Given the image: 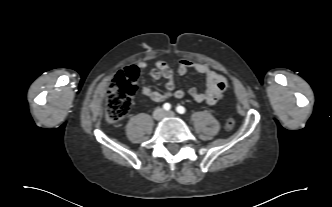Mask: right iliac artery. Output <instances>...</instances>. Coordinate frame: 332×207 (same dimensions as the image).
Returning a JSON list of instances; mask_svg holds the SVG:
<instances>
[{
    "label": "right iliac artery",
    "instance_id": "right-iliac-artery-1",
    "mask_svg": "<svg viewBox=\"0 0 332 207\" xmlns=\"http://www.w3.org/2000/svg\"><path fill=\"white\" fill-rule=\"evenodd\" d=\"M170 108H171V105L169 103H165L163 105V109L166 110V111L170 110Z\"/></svg>",
    "mask_w": 332,
    "mask_h": 207
}]
</instances>
